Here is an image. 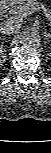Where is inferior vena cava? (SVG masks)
Wrapping results in <instances>:
<instances>
[{"label": "inferior vena cava", "instance_id": "obj_1", "mask_svg": "<svg viewBox=\"0 0 51 153\" xmlns=\"http://www.w3.org/2000/svg\"><path fill=\"white\" fill-rule=\"evenodd\" d=\"M21 27V24L18 20L8 19L3 21L0 25V32L6 35H11L16 33Z\"/></svg>", "mask_w": 51, "mask_h": 153}]
</instances>
